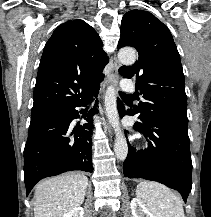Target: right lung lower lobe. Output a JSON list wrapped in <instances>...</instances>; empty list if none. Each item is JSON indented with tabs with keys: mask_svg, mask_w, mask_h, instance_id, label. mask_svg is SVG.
Returning <instances> with one entry per match:
<instances>
[{
	"mask_svg": "<svg viewBox=\"0 0 211 217\" xmlns=\"http://www.w3.org/2000/svg\"><path fill=\"white\" fill-rule=\"evenodd\" d=\"M98 90L99 87L62 109L31 117L24 149V181L27 195L43 178L72 170L93 171L92 126L89 123L96 110L90 111L84 118L89 123L73 127L72 121L79 117L76 108L85 106L89 97L97 94Z\"/></svg>",
	"mask_w": 211,
	"mask_h": 217,
	"instance_id": "98d812e1",
	"label": "right lung lower lobe"
}]
</instances>
